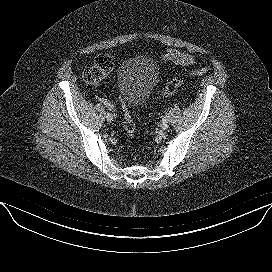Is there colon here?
Returning a JSON list of instances; mask_svg holds the SVG:
<instances>
[{
  "label": "colon",
  "mask_w": 272,
  "mask_h": 272,
  "mask_svg": "<svg viewBox=\"0 0 272 272\" xmlns=\"http://www.w3.org/2000/svg\"><path fill=\"white\" fill-rule=\"evenodd\" d=\"M114 64L115 57L112 54H101L95 59L93 65L83 71L82 78L88 84H97L112 73ZM208 72L209 68L202 67L191 71L190 75L200 76ZM183 84V80L173 79L161 90V94L169 96L182 87ZM122 112L124 116V132L127 137L133 138L136 133V127L125 104H122Z\"/></svg>",
  "instance_id": "obj_1"
}]
</instances>
